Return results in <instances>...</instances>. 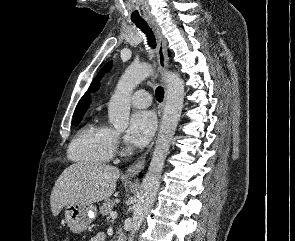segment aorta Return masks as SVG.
I'll return each mask as SVG.
<instances>
[{
  "label": "aorta",
  "instance_id": "1",
  "mask_svg": "<svg viewBox=\"0 0 295 241\" xmlns=\"http://www.w3.org/2000/svg\"><path fill=\"white\" fill-rule=\"evenodd\" d=\"M152 73L153 68L150 65H130L119 79L108 106L109 122L117 130H125L127 128L131 95L135 87ZM163 79L167 88L166 104L152 159L148 171L143 178L141 191L134 206L128 241L134 240L135 234L140 229L145 216L155 201L164 162L183 108L185 92L181 78L173 72L166 71L163 74Z\"/></svg>",
  "mask_w": 295,
  "mask_h": 241
}]
</instances>
